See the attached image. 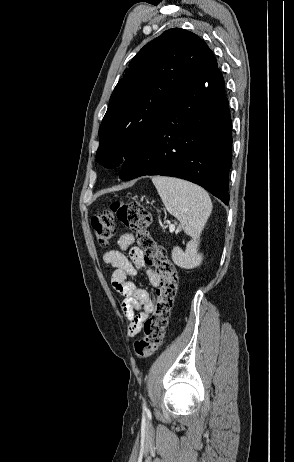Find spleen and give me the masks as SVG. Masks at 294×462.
Returning <instances> with one entry per match:
<instances>
[{"label": "spleen", "instance_id": "obj_1", "mask_svg": "<svg viewBox=\"0 0 294 462\" xmlns=\"http://www.w3.org/2000/svg\"><path fill=\"white\" fill-rule=\"evenodd\" d=\"M152 182L168 212L180 221L185 233L193 238L185 252L175 247L172 259L178 266L194 268L202 260L197 250L200 235L212 212L211 199L203 188L188 181L155 176Z\"/></svg>", "mask_w": 294, "mask_h": 462}]
</instances>
